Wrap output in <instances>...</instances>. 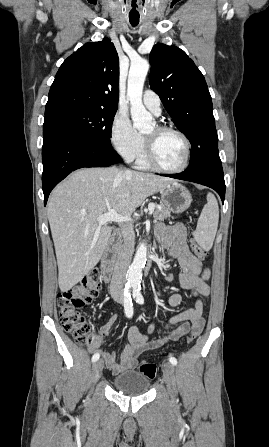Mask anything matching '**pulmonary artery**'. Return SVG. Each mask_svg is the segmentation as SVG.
Listing matches in <instances>:
<instances>
[{
	"instance_id": "obj_1",
	"label": "pulmonary artery",
	"mask_w": 269,
	"mask_h": 447,
	"mask_svg": "<svg viewBox=\"0 0 269 447\" xmlns=\"http://www.w3.org/2000/svg\"><path fill=\"white\" fill-rule=\"evenodd\" d=\"M143 104L144 106L154 113L155 115H159L161 112L160 105L161 99L160 97L151 90H146L143 94Z\"/></svg>"
}]
</instances>
